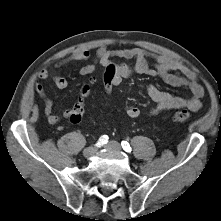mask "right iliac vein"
<instances>
[{
	"label": "right iliac vein",
	"instance_id": "1",
	"mask_svg": "<svg viewBox=\"0 0 221 221\" xmlns=\"http://www.w3.org/2000/svg\"><path fill=\"white\" fill-rule=\"evenodd\" d=\"M96 151H97V148L95 146H91V147L84 149L83 155L85 157H91L92 155H94L96 153Z\"/></svg>",
	"mask_w": 221,
	"mask_h": 221
}]
</instances>
